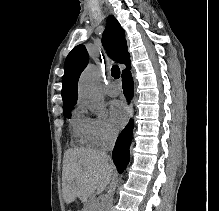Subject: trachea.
I'll return each mask as SVG.
<instances>
[{"mask_svg":"<svg viewBox=\"0 0 219 211\" xmlns=\"http://www.w3.org/2000/svg\"><path fill=\"white\" fill-rule=\"evenodd\" d=\"M111 74L116 79L120 77V69L117 65L112 66Z\"/></svg>","mask_w":219,"mask_h":211,"instance_id":"trachea-1","label":"trachea"}]
</instances>
